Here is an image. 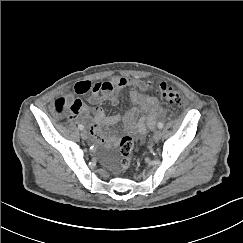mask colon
<instances>
[{
	"mask_svg": "<svg viewBox=\"0 0 243 243\" xmlns=\"http://www.w3.org/2000/svg\"><path fill=\"white\" fill-rule=\"evenodd\" d=\"M154 92L162 100L167 101L174 106L183 105V96L181 93L174 87L166 84L160 83L154 88ZM54 108L57 113H63L65 107L63 103L56 102ZM134 149L133 140L130 137H123L119 142V151L121 155L120 168L123 171H127L131 166V155Z\"/></svg>",
	"mask_w": 243,
	"mask_h": 243,
	"instance_id": "5ec220e1",
	"label": "colon"
}]
</instances>
